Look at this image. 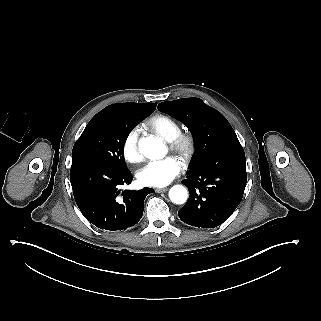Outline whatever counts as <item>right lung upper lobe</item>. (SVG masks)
Masks as SVG:
<instances>
[{"label": "right lung upper lobe", "mask_w": 321, "mask_h": 321, "mask_svg": "<svg viewBox=\"0 0 321 321\" xmlns=\"http://www.w3.org/2000/svg\"><path fill=\"white\" fill-rule=\"evenodd\" d=\"M155 109V103H121L110 105L103 110L116 119L143 120L152 114Z\"/></svg>", "instance_id": "right-lung-upper-lobe-1"}]
</instances>
